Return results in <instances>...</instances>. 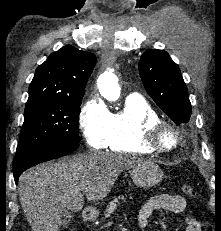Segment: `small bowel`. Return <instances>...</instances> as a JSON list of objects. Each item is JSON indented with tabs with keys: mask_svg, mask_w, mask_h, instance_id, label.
Instances as JSON below:
<instances>
[{
	"mask_svg": "<svg viewBox=\"0 0 221 231\" xmlns=\"http://www.w3.org/2000/svg\"><path fill=\"white\" fill-rule=\"evenodd\" d=\"M186 208V200L178 195H157L149 198L140 208L138 224L145 231L152 213L159 209L181 213ZM185 231H202L200 224L191 216L186 217Z\"/></svg>",
	"mask_w": 221,
	"mask_h": 231,
	"instance_id": "small-bowel-1",
	"label": "small bowel"
}]
</instances>
